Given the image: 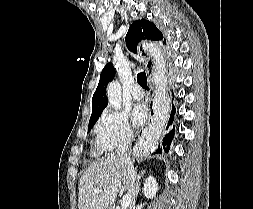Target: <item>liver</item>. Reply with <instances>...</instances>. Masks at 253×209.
I'll use <instances>...</instances> for the list:
<instances>
[{"label":"liver","mask_w":253,"mask_h":209,"mask_svg":"<svg viewBox=\"0 0 253 209\" xmlns=\"http://www.w3.org/2000/svg\"><path fill=\"white\" fill-rule=\"evenodd\" d=\"M121 185L132 198L128 163L124 157L112 153L94 162L79 180V209H112Z\"/></svg>","instance_id":"obj_1"}]
</instances>
